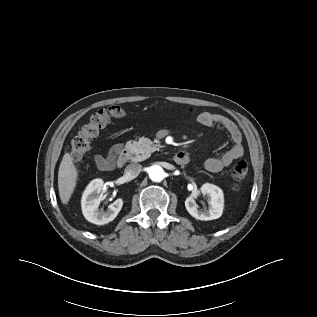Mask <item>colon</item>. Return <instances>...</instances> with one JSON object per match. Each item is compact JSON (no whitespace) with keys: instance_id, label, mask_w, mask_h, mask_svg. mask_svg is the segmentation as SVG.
Wrapping results in <instances>:
<instances>
[{"instance_id":"1","label":"colon","mask_w":317,"mask_h":317,"mask_svg":"<svg viewBox=\"0 0 317 317\" xmlns=\"http://www.w3.org/2000/svg\"><path fill=\"white\" fill-rule=\"evenodd\" d=\"M125 111L119 106H111L95 112L89 122L84 125L71 141V156L74 162L82 160L90 147L91 141L111 121L112 118L125 116ZM249 167L246 161H238L232 168L233 189L237 190L239 184L248 177Z\"/></svg>"}]
</instances>
